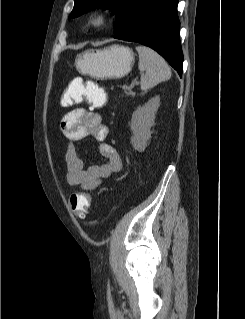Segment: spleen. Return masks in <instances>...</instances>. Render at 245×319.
Here are the masks:
<instances>
[{"instance_id":"1","label":"spleen","mask_w":245,"mask_h":319,"mask_svg":"<svg viewBox=\"0 0 245 319\" xmlns=\"http://www.w3.org/2000/svg\"><path fill=\"white\" fill-rule=\"evenodd\" d=\"M139 54V70L145 72L141 76V90L147 91L171 77V69L165 59L153 49L140 45L136 47Z\"/></svg>"}]
</instances>
